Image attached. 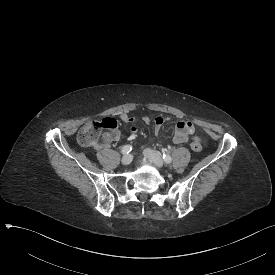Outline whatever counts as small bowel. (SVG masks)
Here are the masks:
<instances>
[{
  "instance_id": "small-bowel-1",
  "label": "small bowel",
  "mask_w": 275,
  "mask_h": 275,
  "mask_svg": "<svg viewBox=\"0 0 275 275\" xmlns=\"http://www.w3.org/2000/svg\"><path fill=\"white\" fill-rule=\"evenodd\" d=\"M120 119L123 122L130 123V124H133L136 121V118L134 116L129 115L127 113H123ZM163 123H164V118L158 117L155 119V124H154L155 134H158L160 132V129ZM136 132H137V129L132 128V133L135 134ZM194 137H195V127L191 121L182 120L176 124V129L173 136V141L176 144L185 143L189 139Z\"/></svg>"
}]
</instances>
